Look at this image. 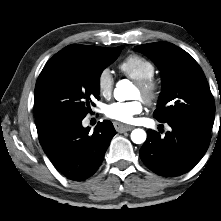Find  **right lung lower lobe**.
Returning a JSON list of instances; mask_svg holds the SVG:
<instances>
[{
	"label": "right lung lower lobe",
	"instance_id": "obj_1",
	"mask_svg": "<svg viewBox=\"0 0 221 221\" xmlns=\"http://www.w3.org/2000/svg\"><path fill=\"white\" fill-rule=\"evenodd\" d=\"M82 120L62 126L40 142L56 169L72 181H84L98 170L116 134L108 120L99 122L93 133L83 128Z\"/></svg>",
	"mask_w": 221,
	"mask_h": 221
}]
</instances>
